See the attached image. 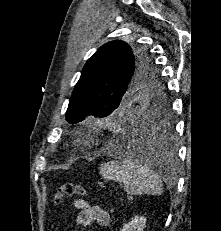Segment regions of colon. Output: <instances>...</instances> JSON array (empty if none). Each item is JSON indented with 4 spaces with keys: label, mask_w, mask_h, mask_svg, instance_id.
Masks as SVG:
<instances>
[{
    "label": "colon",
    "mask_w": 221,
    "mask_h": 231,
    "mask_svg": "<svg viewBox=\"0 0 221 231\" xmlns=\"http://www.w3.org/2000/svg\"><path fill=\"white\" fill-rule=\"evenodd\" d=\"M86 194L85 189L73 182H65L61 184L54 194V202L56 205H61L64 202L65 197L73 195L83 196Z\"/></svg>",
    "instance_id": "5ec220e1"
}]
</instances>
